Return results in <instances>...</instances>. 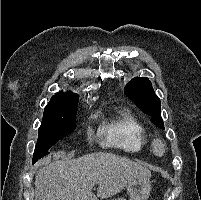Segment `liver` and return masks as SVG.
Returning a JSON list of instances; mask_svg holds the SVG:
<instances>
[{"label":"liver","instance_id":"6515ba94","mask_svg":"<svg viewBox=\"0 0 201 200\" xmlns=\"http://www.w3.org/2000/svg\"><path fill=\"white\" fill-rule=\"evenodd\" d=\"M150 176L149 169L124 157L91 153L41 167L35 177V197L36 200L106 199L134 179ZM95 184H98L97 196L92 192Z\"/></svg>","mask_w":201,"mask_h":200}]
</instances>
